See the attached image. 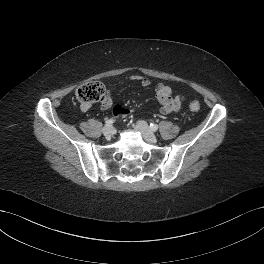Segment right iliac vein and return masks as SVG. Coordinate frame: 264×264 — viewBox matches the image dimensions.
Masks as SVG:
<instances>
[{
    "label": "right iliac vein",
    "instance_id": "obj_1",
    "mask_svg": "<svg viewBox=\"0 0 264 264\" xmlns=\"http://www.w3.org/2000/svg\"><path fill=\"white\" fill-rule=\"evenodd\" d=\"M102 132L105 136L110 137L113 133V127L111 125H106L103 127Z\"/></svg>",
    "mask_w": 264,
    "mask_h": 264
}]
</instances>
